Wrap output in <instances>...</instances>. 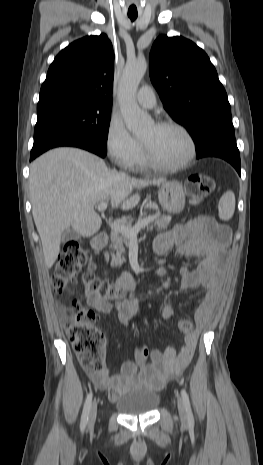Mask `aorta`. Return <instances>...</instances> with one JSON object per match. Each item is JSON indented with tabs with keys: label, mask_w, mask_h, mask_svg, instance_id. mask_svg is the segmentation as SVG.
Listing matches in <instances>:
<instances>
[{
	"label": "aorta",
	"mask_w": 263,
	"mask_h": 465,
	"mask_svg": "<svg viewBox=\"0 0 263 465\" xmlns=\"http://www.w3.org/2000/svg\"><path fill=\"white\" fill-rule=\"evenodd\" d=\"M147 69L145 59L128 61L124 68L118 91L120 111L126 126L133 134L145 131L151 118L142 111L136 102V92Z\"/></svg>",
	"instance_id": "aorta-1"
}]
</instances>
